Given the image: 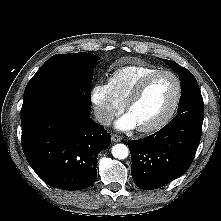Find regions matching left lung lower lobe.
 I'll return each instance as SVG.
<instances>
[{
    "label": "left lung lower lobe",
    "mask_w": 221,
    "mask_h": 221,
    "mask_svg": "<svg viewBox=\"0 0 221 221\" xmlns=\"http://www.w3.org/2000/svg\"><path fill=\"white\" fill-rule=\"evenodd\" d=\"M203 115L176 116L145 139L130 140L131 173L135 184L157 189L182 175L191 165L202 134Z\"/></svg>",
    "instance_id": "0a47b994"
}]
</instances>
